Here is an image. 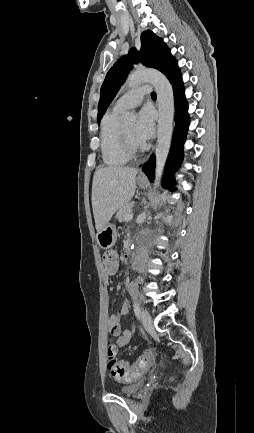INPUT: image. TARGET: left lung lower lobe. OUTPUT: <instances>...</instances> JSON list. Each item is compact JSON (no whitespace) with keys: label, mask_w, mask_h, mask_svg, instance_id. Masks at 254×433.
Masks as SVG:
<instances>
[{"label":"left lung lower lobe","mask_w":254,"mask_h":433,"mask_svg":"<svg viewBox=\"0 0 254 433\" xmlns=\"http://www.w3.org/2000/svg\"><path fill=\"white\" fill-rule=\"evenodd\" d=\"M163 74L169 79L173 86L175 100L176 127L170 153L166 163V176L164 181V186L169 187L170 191H174L175 188L173 187L174 181L172 178V173L177 169L182 160V149L188 130V124L186 123L188 119V113L183 90V82L176 60L165 70ZM154 168L155 157L152 155L149 161L142 167L143 172L148 176V179L151 182L154 180Z\"/></svg>","instance_id":"obj_1"}]
</instances>
